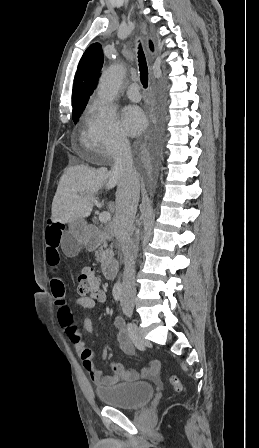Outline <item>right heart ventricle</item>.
I'll return each mask as SVG.
<instances>
[{"instance_id": "1", "label": "right heart ventricle", "mask_w": 259, "mask_h": 448, "mask_svg": "<svg viewBox=\"0 0 259 448\" xmlns=\"http://www.w3.org/2000/svg\"><path fill=\"white\" fill-rule=\"evenodd\" d=\"M95 118V113L92 110L91 104H88L85 108V111L83 113V116L81 118V129L82 134L87 137L88 133L91 129L92 123ZM138 190V189H137Z\"/></svg>"}]
</instances>
